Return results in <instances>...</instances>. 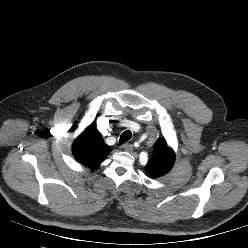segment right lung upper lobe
<instances>
[{
  "instance_id": "1",
  "label": "right lung upper lobe",
  "mask_w": 248,
  "mask_h": 248,
  "mask_svg": "<svg viewBox=\"0 0 248 248\" xmlns=\"http://www.w3.org/2000/svg\"><path fill=\"white\" fill-rule=\"evenodd\" d=\"M73 155L82 165L95 170L111 151L93 122L74 142Z\"/></svg>"
}]
</instances>
